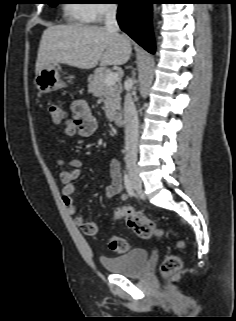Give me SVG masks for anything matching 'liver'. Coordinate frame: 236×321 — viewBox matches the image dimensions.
Segmentation results:
<instances>
[{
    "label": "liver",
    "instance_id": "liver-1",
    "mask_svg": "<svg viewBox=\"0 0 236 321\" xmlns=\"http://www.w3.org/2000/svg\"><path fill=\"white\" fill-rule=\"evenodd\" d=\"M131 54L127 37L97 25H57L41 37L35 72L45 67L66 64L80 69L122 65Z\"/></svg>",
    "mask_w": 236,
    "mask_h": 321
}]
</instances>
